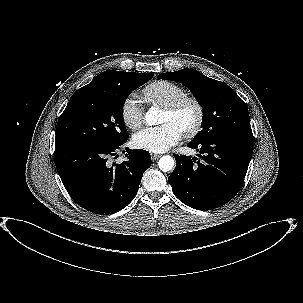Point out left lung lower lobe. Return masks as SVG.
<instances>
[{"label": "left lung lower lobe", "mask_w": 303, "mask_h": 303, "mask_svg": "<svg viewBox=\"0 0 303 303\" xmlns=\"http://www.w3.org/2000/svg\"><path fill=\"white\" fill-rule=\"evenodd\" d=\"M187 146L196 149L201 160L174 155L176 168L168 178L173 193L198 210H211L229 202L243 185L254 137L230 135Z\"/></svg>", "instance_id": "left-lung-lower-lobe-1"}]
</instances>
